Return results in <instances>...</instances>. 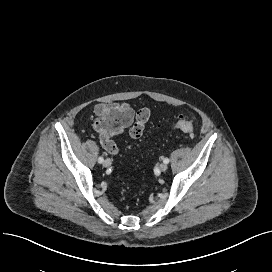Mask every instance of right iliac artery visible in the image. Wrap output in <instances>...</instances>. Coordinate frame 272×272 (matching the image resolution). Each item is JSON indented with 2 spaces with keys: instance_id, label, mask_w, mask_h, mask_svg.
<instances>
[{
  "instance_id": "82829eb1",
  "label": "right iliac artery",
  "mask_w": 272,
  "mask_h": 272,
  "mask_svg": "<svg viewBox=\"0 0 272 272\" xmlns=\"http://www.w3.org/2000/svg\"><path fill=\"white\" fill-rule=\"evenodd\" d=\"M103 161H104L103 157H99V158H98V162H99V163H103Z\"/></svg>"
}]
</instances>
